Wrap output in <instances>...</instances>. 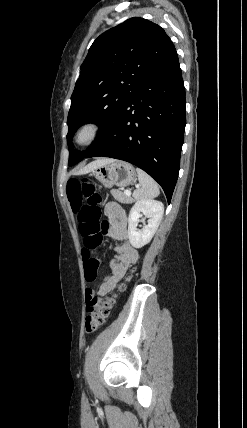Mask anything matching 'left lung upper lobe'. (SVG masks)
<instances>
[{
    "instance_id": "obj_1",
    "label": "left lung upper lobe",
    "mask_w": 247,
    "mask_h": 428,
    "mask_svg": "<svg viewBox=\"0 0 247 428\" xmlns=\"http://www.w3.org/2000/svg\"><path fill=\"white\" fill-rule=\"evenodd\" d=\"M174 51L159 25L139 17L111 28L93 42L71 96L69 166L87 155L73 149L71 138L76 129L97 122L102 137L125 102Z\"/></svg>"
}]
</instances>
